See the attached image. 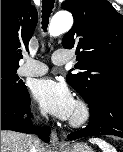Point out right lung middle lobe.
<instances>
[{
  "instance_id": "1",
  "label": "right lung middle lobe",
  "mask_w": 123,
  "mask_h": 152,
  "mask_svg": "<svg viewBox=\"0 0 123 152\" xmlns=\"http://www.w3.org/2000/svg\"><path fill=\"white\" fill-rule=\"evenodd\" d=\"M16 70L17 68L1 67V96H19L27 90Z\"/></svg>"
}]
</instances>
